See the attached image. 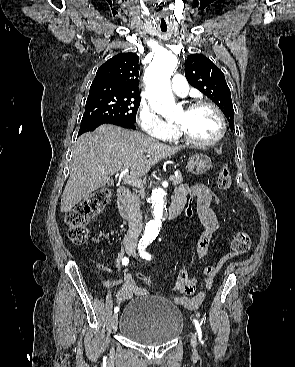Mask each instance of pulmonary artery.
I'll return each instance as SVG.
<instances>
[{
  "instance_id": "pulmonary-artery-1",
  "label": "pulmonary artery",
  "mask_w": 295,
  "mask_h": 367,
  "mask_svg": "<svg viewBox=\"0 0 295 367\" xmlns=\"http://www.w3.org/2000/svg\"><path fill=\"white\" fill-rule=\"evenodd\" d=\"M172 90L179 96H186L189 91L188 83L181 74H176L172 78Z\"/></svg>"
}]
</instances>
